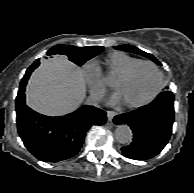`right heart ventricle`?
I'll return each mask as SVG.
<instances>
[{
    "label": "right heart ventricle",
    "mask_w": 194,
    "mask_h": 193,
    "mask_svg": "<svg viewBox=\"0 0 194 193\" xmlns=\"http://www.w3.org/2000/svg\"><path fill=\"white\" fill-rule=\"evenodd\" d=\"M139 61H141V59L130 56L121 51L113 52L107 57L110 72L116 77Z\"/></svg>",
    "instance_id": "right-heart-ventricle-1"
}]
</instances>
